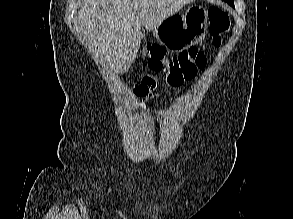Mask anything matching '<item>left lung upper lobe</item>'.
I'll use <instances>...</instances> for the list:
<instances>
[{
    "label": "left lung upper lobe",
    "instance_id": "left-lung-upper-lobe-1",
    "mask_svg": "<svg viewBox=\"0 0 293 219\" xmlns=\"http://www.w3.org/2000/svg\"><path fill=\"white\" fill-rule=\"evenodd\" d=\"M223 1L229 3V4L232 5V6L234 5V1H233V0H223Z\"/></svg>",
    "mask_w": 293,
    "mask_h": 219
}]
</instances>
